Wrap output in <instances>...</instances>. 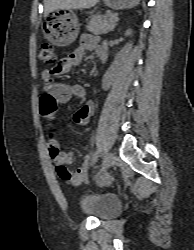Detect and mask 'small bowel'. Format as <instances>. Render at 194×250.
Here are the masks:
<instances>
[{
  "label": "small bowel",
  "instance_id": "small-bowel-1",
  "mask_svg": "<svg viewBox=\"0 0 194 250\" xmlns=\"http://www.w3.org/2000/svg\"><path fill=\"white\" fill-rule=\"evenodd\" d=\"M94 50L97 56L100 58L102 54H106V49L99 45L98 38L91 34H83L81 36L78 47L68 56L60 60V62L51 69H45L42 73L43 86L55 100L60 104H65L71 98L83 99L85 97V89L80 84H51L49 78L53 73H66L73 69H76L82 62L86 52ZM95 103L93 101L86 102L80 107L74 114V121L79 125H86L90 122V119L95 111ZM56 116V115H55ZM48 122H52L55 117H44ZM48 148L51 159L56 168L67 167L72 164L73 157L69 152H64L59 149L58 142L56 140V133L53 130L48 134ZM91 157L85 155L81 166L74 172H69L70 177L65 178L60 173L59 175L66 181L78 185L85 182L88 178V169L90 166Z\"/></svg>",
  "mask_w": 194,
  "mask_h": 250
}]
</instances>
